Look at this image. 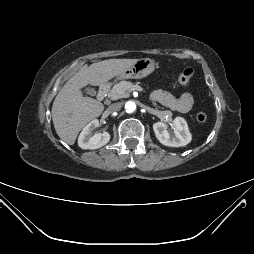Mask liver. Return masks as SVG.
Returning a JSON list of instances; mask_svg holds the SVG:
<instances>
[{
	"mask_svg": "<svg viewBox=\"0 0 254 254\" xmlns=\"http://www.w3.org/2000/svg\"><path fill=\"white\" fill-rule=\"evenodd\" d=\"M138 59H108L84 65L57 94L52 106V120L58 136L73 145L80 130L92 119L99 117L104 105L84 97L81 88L88 84L101 86L132 66Z\"/></svg>",
	"mask_w": 254,
	"mask_h": 254,
	"instance_id": "liver-1",
	"label": "liver"
}]
</instances>
